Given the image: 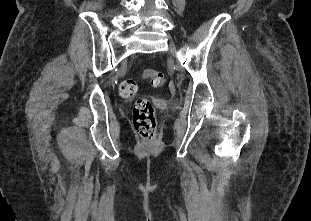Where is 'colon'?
Segmentation results:
<instances>
[{"label":"colon","instance_id":"obj_1","mask_svg":"<svg viewBox=\"0 0 311 221\" xmlns=\"http://www.w3.org/2000/svg\"><path fill=\"white\" fill-rule=\"evenodd\" d=\"M144 77L149 79L153 87H162L167 82L164 73L155 70H146ZM138 90L135 78H126L121 82L120 92L124 98H132ZM132 121L137 133L143 141H156V118L152 101L147 97H140L134 103Z\"/></svg>","mask_w":311,"mask_h":221}]
</instances>
